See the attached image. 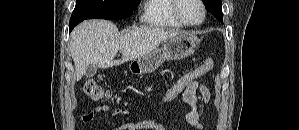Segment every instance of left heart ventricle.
I'll use <instances>...</instances> for the list:
<instances>
[{
  "instance_id": "b2bd125f",
  "label": "left heart ventricle",
  "mask_w": 299,
  "mask_h": 130,
  "mask_svg": "<svg viewBox=\"0 0 299 130\" xmlns=\"http://www.w3.org/2000/svg\"><path fill=\"white\" fill-rule=\"evenodd\" d=\"M180 12L190 23H197L202 17V9L197 0H182L180 4Z\"/></svg>"
}]
</instances>
